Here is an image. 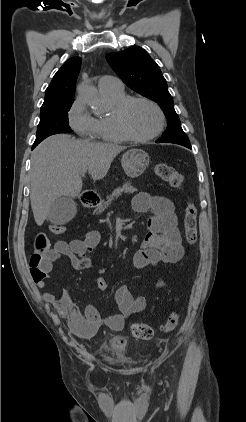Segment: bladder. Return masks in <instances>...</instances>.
<instances>
[{
  "label": "bladder",
  "mask_w": 246,
  "mask_h": 422,
  "mask_svg": "<svg viewBox=\"0 0 246 422\" xmlns=\"http://www.w3.org/2000/svg\"><path fill=\"white\" fill-rule=\"evenodd\" d=\"M124 349H125L124 345L121 344L116 339H113L108 346V352L113 354V355L122 353L124 351Z\"/></svg>",
  "instance_id": "31cf9c89"
}]
</instances>
